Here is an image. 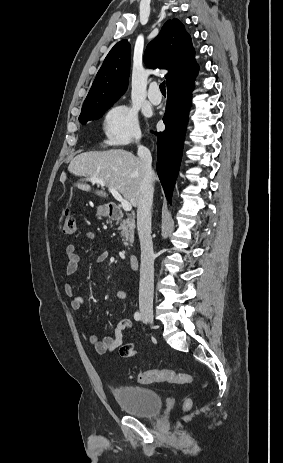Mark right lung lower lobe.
<instances>
[{
  "label": "right lung lower lobe",
  "mask_w": 283,
  "mask_h": 463,
  "mask_svg": "<svg viewBox=\"0 0 283 463\" xmlns=\"http://www.w3.org/2000/svg\"><path fill=\"white\" fill-rule=\"evenodd\" d=\"M192 80L167 88L166 113L163 117L166 128L162 133H156L158 137L156 169L169 202L182 156L191 92L194 87Z\"/></svg>",
  "instance_id": "right-lung-lower-lobe-1"
}]
</instances>
